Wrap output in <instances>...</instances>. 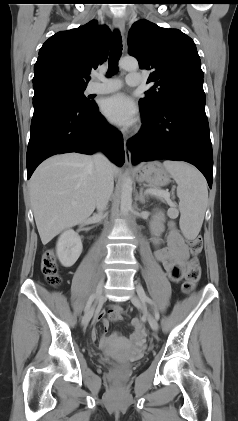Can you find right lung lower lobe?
Wrapping results in <instances>:
<instances>
[{"mask_svg": "<svg viewBox=\"0 0 238 421\" xmlns=\"http://www.w3.org/2000/svg\"><path fill=\"white\" fill-rule=\"evenodd\" d=\"M33 106L28 179L43 160L60 153L93 154L102 148L113 163L123 165V136L106 122L95 103L87 107L69 95L43 89L34 93Z\"/></svg>", "mask_w": 238, "mask_h": 421, "instance_id": "obj_1", "label": "right lung lower lobe"}]
</instances>
